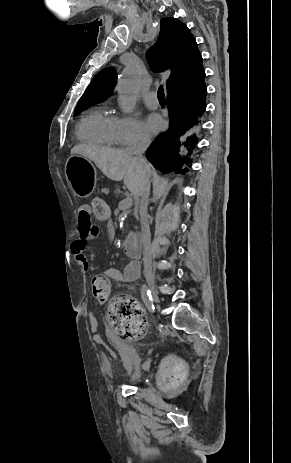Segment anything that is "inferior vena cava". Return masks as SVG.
<instances>
[{"label": "inferior vena cava", "mask_w": 291, "mask_h": 463, "mask_svg": "<svg viewBox=\"0 0 291 463\" xmlns=\"http://www.w3.org/2000/svg\"><path fill=\"white\" fill-rule=\"evenodd\" d=\"M151 143L150 136L146 133H141L137 141L128 147L126 150L129 154L135 155V158L146 168L149 172V165L143 157L144 152ZM150 195V175L148 174L143 192L140 199V221H141V238L143 244V255L144 260L151 257V237L149 228V216H148V201ZM150 274V272H148Z\"/></svg>", "instance_id": "obj_1"}]
</instances>
